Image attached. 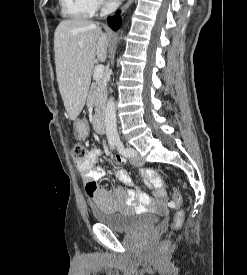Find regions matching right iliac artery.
Segmentation results:
<instances>
[{
  "instance_id": "1",
  "label": "right iliac artery",
  "mask_w": 247,
  "mask_h": 275,
  "mask_svg": "<svg viewBox=\"0 0 247 275\" xmlns=\"http://www.w3.org/2000/svg\"><path fill=\"white\" fill-rule=\"evenodd\" d=\"M110 146H111L112 149H114L115 148V142H111Z\"/></svg>"
}]
</instances>
